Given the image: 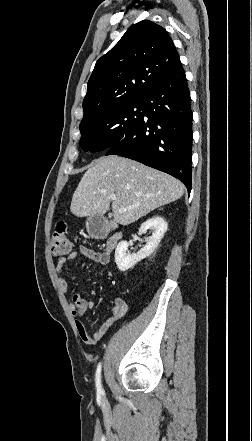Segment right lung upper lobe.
Wrapping results in <instances>:
<instances>
[{"label": "right lung upper lobe", "mask_w": 252, "mask_h": 441, "mask_svg": "<svg viewBox=\"0 0 252 441\" xmlns=\"http://www.w3.org/2000/svg\"><path fill=\"white\" fill-rule=\"evenodd\" d=\"M180 63L167 31L149 21L132 25L95 65L83 101L82 122L144 94Z\"/></svg>", "instance_id": "right-lung-upper-lobe-1"}]
</instances>
